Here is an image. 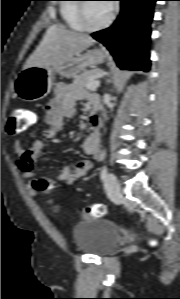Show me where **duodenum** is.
Here are the masks:
<instances>
[{"label":"duodenum","instance_id":"410a0bca","mask_svg":"<svg viewBox=\"0 0 180 299\" xmlns=\"http://www.w3.org/2000/svg\"><path fill=\"white\" fill-rule=\"evenodd\" d=\"M103 120V114L100 111H95L90 117V126L91 128L96 131L100 128V125Z\"/></svg>","mask_w":180,"mask_h":299}]
</instances>
